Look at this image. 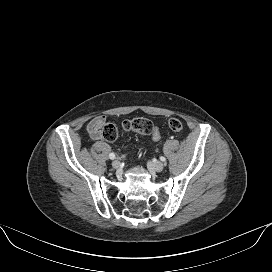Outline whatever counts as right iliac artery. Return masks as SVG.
Segmentation results:
<instances>
[{"instance_id":"1","label":"right iliac artery","mask_w":272,"mask_h":272,"mask_svg":"<svg viewBox=\"0 0 272 272\" xmlns=\"http://www.w3.org/2000/svg\"><path fill=\"white\" fill-rule=\"evenodd\" d=\"M109 158H110V159H115V158H116V156H115V154H114V153H110V154H109Z\"/></svg>"}]
</instances>
